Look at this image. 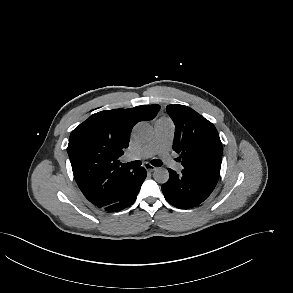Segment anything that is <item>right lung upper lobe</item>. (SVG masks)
<instances>
[{
    "label": "right lung upper lobe",
    "instance_id": "cb5924a9",
    "mask_svg": "<svg viewBox=\"0 0 293 293\" xmlns=\"http://www.w3.org/2000/svg\"><path fill=\"white\" fill-rule=\"evenodd\" d=\"M159 109V105H142L101 111L72 131L67 152L73 175L91 203L105 207L125 195L136 170L119 167L118 158L129 145L133 126L153 119Z\"/></svg>",
    "mask_w": 293,
    "mask_h": 293
}]
</instances>
